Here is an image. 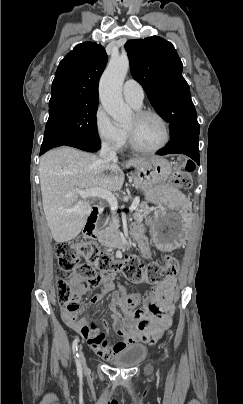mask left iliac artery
Returning <instances> with one entry per match:
<instances>
[{"instance_id": "44dca946", "label": "left iliac artery", "mask_w": 243, "mask_h": 404, "mask_svg": "<svg viewBox=\"0 0 243 404\" xmlns=\"http://www.w3.org/2000/svg\"><path fill=\"white\" fill-rule=\"evenodd\" d=\"M165 352H166V356H167V349H165Z\"/></svg>"}]
</instances>
